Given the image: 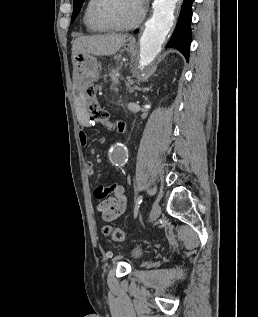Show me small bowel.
<instances>
[{
	"label": "small bowel",
	"mask_w": 258,
	"mask_h": 317,
	"mask_svg": "<svg viewBox=\"0 0 258 317\" xmlns=\"http://www.w3.org/2000/svg\"><path fill=\"white\" fill-rule=\"evenodd\" d=\"M86 123V121H83L82 126L86 127ZM114 125L120 132L124 130V125L121 122H115ZM79 141L83 146L88 142V136L83 129L79 132ZM85 171L90 177L94 175V165L91 160L85 161ZM94 196L100 200L97 205V211L104 222H111L117 219L126 209L127 200L124 188L119 184L97 186L94 190Z\"/></svg>",
	"instance_id": "obj_1"
}]
</instances>
